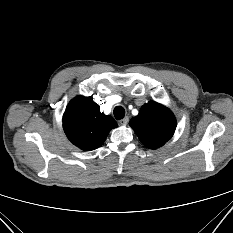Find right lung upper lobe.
<instances>
[{
    "mask_svg": "<svg viewBox=\"0 0 233 233\" xmlns=\"http://www.w3.org/2000/svg\"><path fill=\"white\" fill-rule=\"evenodd\" d=\"M117 127L111 116L100 112L91 97L78 96L68 104L63 116V128L77 147L90 151L100 147L112 128Z\"/></svg>",
    "mask_w": 233,
    "mask_h": 233,
    "instance_id": "right-lung-upper-lobe-1",
    "label": "right lung upper lobe"
}]
</instances>
